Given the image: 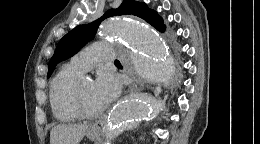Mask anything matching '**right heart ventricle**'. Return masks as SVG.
<instances>
[{
    "label": "right heart ventricle",
    "instance_id": "e07e8e85",
    "mask_svg": "<svg viewBox=\"0 0 260 144\" xmlns=\"http://www.w3.org/2000/svg\"><path fill=\"white\" fill-rule=\"evenodd\" d=\"M83 72L71 62L63 65L50 84V104L55 118L62 123H71L80 119L74 107L75 88Z\"/></svg>",
    "mask_w": 260,
    "mask_h": 144
}]
</instances>
